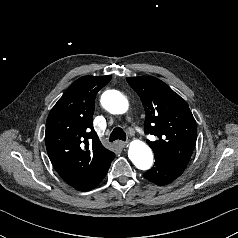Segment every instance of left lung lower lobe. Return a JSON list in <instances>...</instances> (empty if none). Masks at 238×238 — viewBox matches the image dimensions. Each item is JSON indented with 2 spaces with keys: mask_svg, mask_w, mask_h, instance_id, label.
I'll list each match as a JSON object with an SVG mask.
<instances>
[{
  "mask_svg": "<svg viewBox=\"0 0 238 238\" xmlns=\"http://www.w3.org/2000/svg\"><path fill=\"white\" fill-rule=\"evenodd\" d=\"M154 166L146 171L143 176L157 184L167 185L178 178L185 170L187 164L171 161L164 158H155Z\"/></svg>",
  "mask_w": 238,
  "mask_h": 238,
  "instance_id": "left-lung-lower-lobe-1",
  "label": "left lung lower lobe"
}]
</instances>
